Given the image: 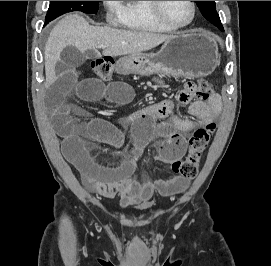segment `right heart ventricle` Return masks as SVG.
Wrapping results in <instances>:
<instances>
[{
  "label": "right heart ventricle",
  "mask_w": 271,
  "mask_h": 266,
  "mask_svg": "<svg viewBox=\"0 0 271 266\" xmlns=\"http://www.w3.org/2000/svg\"><path fill=\"white\" fill-rule=\"evenodd\" d=\"M118 16L120 23L130 30L155 33L172 31L154 16L149 1H122Z\"/></svg>",
  "instance_id": "obj_1"
}]
</instances>
